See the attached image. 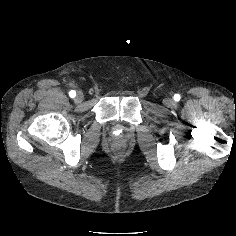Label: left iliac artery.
Listing matches in <instances>:
<instances>
[{
	"mask_svg": "<svg viewBox=\"0 0 236 236\" xmlns=\"http://www.w3.org/2000/svg\"><path fill=\"white\" fill-rule=\"evenodd\" d=\"M174 100L175 101H179L180 100V95L179 94H175L174 95Z\"/></svg>",
	"mask_w": 236,
	"mask_h": 236,
	"instance_id": "obj_1",
	"label": "left iliac artery"
}]
</instances>
